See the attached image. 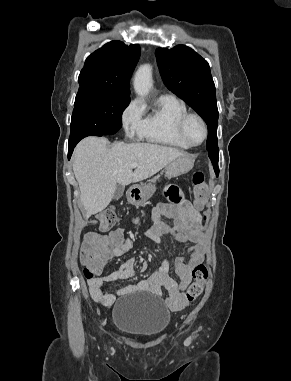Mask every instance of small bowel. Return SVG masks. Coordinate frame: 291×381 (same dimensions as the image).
I'll list each match as a JSON object with an SVG mask.
<instances>
[{"label": "small bowel", "instance_id": "small-bowel-1", "mask_svg": "<svg viewBox=\"0 0 291 381\" xmlns=\"http://www.w3.org/2000/svg\"><path fill=\"white\" fill-rule=\"evenodd\" d=\"M169 194L177 197L178 191L171 189ZM195 213L196 209L187 201L160 203L156 206L153 211L154 223L146 233L147 238L155 243H161L165 235L171 234L178 241L190 244L187 255L178 257L174 261L178 280L170 276L171 262L166 260L149 278L125 286L118 291L119 295L148 291L161 296L162 289H165L168 292L166 305L171 311H179L188 305L185 292L192 281V269L203 261L205 252L204 236L193 223ZM165 219L173 221V225L166 223ZM133 247L134 239L125 238L123 228H116L108 234L88 232L83 240V248H93L108 258L122 256ZM134 263L135 260L130 258L119 269L105 276L89 278L87 283L92 299L103 306H111L114 296L103 289V284L132 278Z\"/></svg>", "mask_w": 291, "mask_h": 381}]
</instances>
